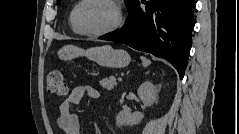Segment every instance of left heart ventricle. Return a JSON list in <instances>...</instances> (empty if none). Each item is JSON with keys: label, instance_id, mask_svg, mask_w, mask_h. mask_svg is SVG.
I'll use <instances>...</instances> for the list:
<instances>
[{"label": "left heart ventricle", "instance_id": "1", "mask_svg": "<svg viewBox=\"0 0 239 134\" xmlns=\"http://www.w3.org/2000/svg\"><path fill=\"white\" fill-rule=\"evenodd\" d=\"M114 20V9L102 0L86 2L80 12V24L87 31L106 29L113 24Z\"/></svg>", "mask_w": 239, "mask_h": 134}]
</instances>
